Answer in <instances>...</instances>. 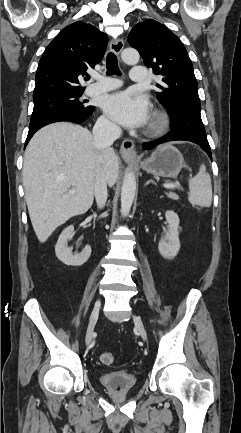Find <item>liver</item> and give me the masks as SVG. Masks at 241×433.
<instances>
[{
  "label": "liver",
  "instance_id": "liver-1",
  "mask_svg": "<svg viewBox=\"0 0 241 433\" xmlns=\"http://www.w3.org/2000/svg\"><path fill=\"white\" fill-rule=\"evenodd\" d=\"M98 167L112 187L119 174L118 156L109 147L98 153L88 129L57 122L35 133L25 151L23 185L39 242H46L57 227L90 209ZM71 186L74 194L68 192Z\"/></svg>",
  "mask_w": 241,
  "mask_h": 433
}]
</instances>
